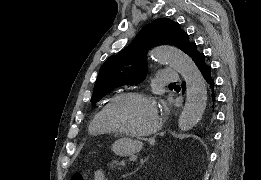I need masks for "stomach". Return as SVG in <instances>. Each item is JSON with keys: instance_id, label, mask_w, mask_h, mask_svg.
<instances>
[{"instance_id": "obj_1", "label": "stomach", "mask_w": 261, "mask_h": 180, "mask_svg": "<svg viewBox=\"0 0 261 180\" xmlns=\"http://www.w3.org/2000/svg\"><path fill=\"white\" fill-rule=\"evenodd\" d=\"M143 144L131 138H120L112 144V151L119 156H130L141 151Z\"/></svg>"}]
</instances>
